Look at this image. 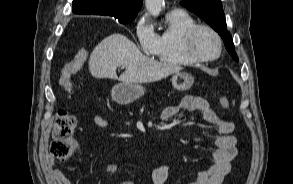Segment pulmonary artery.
<instances>
[{"mask_svg":"<svg viewBox=\"0 0 293 184\" xmlns=\"http://www.w3.org/2000/svg\"><path fill=\"white\" fill-rule=\"evenodd\" d=\"M172 11H179L178 9H173Z\"/></svg>","mask_w":293,"mask_h":184,"instance_id":"e3ab8cb5","label":"pulmonary artery"}]
</instances>
